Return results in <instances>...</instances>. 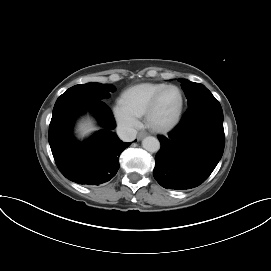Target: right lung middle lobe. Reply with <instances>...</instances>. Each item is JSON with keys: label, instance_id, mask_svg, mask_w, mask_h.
Segmentation results:
<instances>
[{"label": "right lung middle lobe", "instance_id": "right-lung-middle-lobe-1", "mask_svg": "<svg viewBox=\"0 0 271 271\" xmlns=\"http://www.w3.org/2000/svg\"><path fill=\"white\" fill-rule=\"evenodd\" d=\"M113 91V86L99 83L75 85L57 99L55 106L65 102L80 100H102L110 95L109 92Z\"/></svg>", "mask_w": 271, "mask_h": 271}]
</instances>
